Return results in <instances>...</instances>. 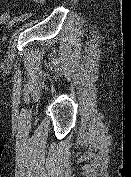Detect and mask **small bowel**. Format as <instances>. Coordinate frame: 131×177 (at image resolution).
I'll return each instance as SVG.
<instances>
[{
    "instance_id": "c3829d8e",
    "label": "small bowel",
    "mask_w": 131,
    "mask_h": 177,
    "mask_svg": "<svg viewBox=\"0 0 131 177\" xmlns=\"http://www.w3.org/2000/svg\"><path fill=\"white\" fill-rule=\"evenodd\" d=\"M18 1H22V0H18ZM40 0H32V2L36 5V6H40L44 3L45 0H43V2H39ZM32 14L31 13H24L20 16L17 17V19L19 21H22V20H26L28 19ZM14 23V21L12 20V17L11 15L8 13V12H3L1 15H0V24H8L9 26H12Z\"/></svg>"
}]
</instances>
